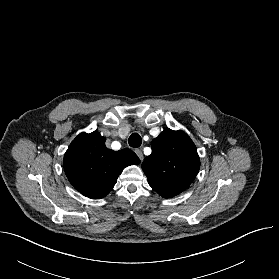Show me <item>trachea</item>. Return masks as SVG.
<instances>
[{
  "label": "trachea",
  "instance_id": "3493384b",
  "mask_svg": "<svg viewBox=\"0 0 279 279\" xmlns=\"http://www.w3.org/2000/svg\"><path fill=\"white\" fill-rule=\"evenodd\" d=\"M128 143L131 147L137 148L142 143V138L138 133H133L128 139Z\"/></svg>",
  "mask_w": 279,
  "mask_h": 279
}]
</instances>
